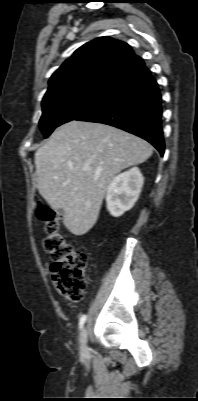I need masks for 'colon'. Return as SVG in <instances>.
<instances>
[{
    "mask_svg": "<svg viewBox=\"0 0 198 401\" xmlns=\"http://www.w3.org/2000/svg\"><path fill=\"white\" fill-rule=\"evenodd\" d=\"M36 215L46 232L43 246L53 261L51 275L54 287L67 301H81L87 284L86 255L75 249L62 235L60 218L53 209L38 205Z\"/></svg>",
    "mask_w": 198,
    "mask_h": 401,
    "instance_id": "colon-1",
    "label": "colon"
}]
</instances>
